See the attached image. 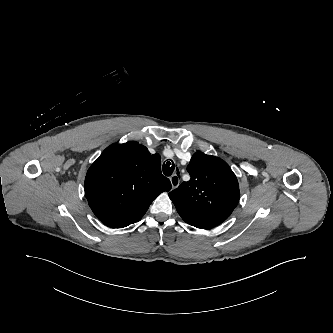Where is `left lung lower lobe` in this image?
<instances>
[{
  "label": "left lung lower lobe",
  "mask_w": 333,
  "mask_h": 333,
  "mask_svg": "<svg viewBox=\"0 0 333 333\" xmlns=\"http://www.w3.org/2000/svg\"><path fill=\"white\" fill-rule=\"evenodd\" d=\"M175 207L186 223L201 229L220 225L234 210L231 207L196 208L183 204H176Z\"/></svg>",
  "instance_id": "0a47b994"
}]
</instances>
